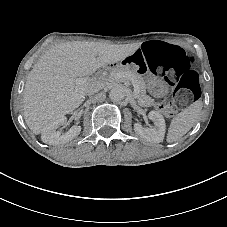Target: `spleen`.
<instances>
[{"mask_svg":"<svg viewBox=\"0 0 227 227\" xmlns=\"http://www.w3.org/2000/svg\"><path fill=\"white\" fill-rule=\"evenodd\" d=\"M201 102L192 104L184 111L180 112L173 120L167 135L168 142H175L185 135L198 120L201 112Z\"/></svg>","mask_w":227,"mask_h":227,"instance_id":"spleen-1","label":"spleen"}]
</instances>
